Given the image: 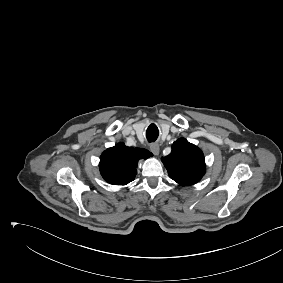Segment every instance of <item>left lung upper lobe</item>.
<instances>
[{
    "mask_svg": "<svg viewBox=\"0 0 283 283\" xmlns=\"http://www.w3.org/2000/svg\"><path fill=\"white\" fill-rule=\"evenodd\" d=\"M171 179L181 186L196 184L206 171L202 151L186 139L180 138L172 144V151L161 158Z\"/></svg>",
    "mask_w": 283,
    "mask_h": 283,
    "instance_id": "obj_1",
    "label": "left lung upper lobe"
}]
</instances>
